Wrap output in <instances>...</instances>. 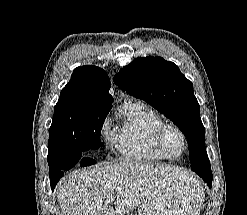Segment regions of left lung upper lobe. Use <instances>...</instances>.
I'll use <instances>...</instances> for the list:
<instances>
[{
  "instance_id": "5c2ea615",
  "label": "left lung upper lobe",
  "mask_w": 247,
  "mask_h": 215,
  "mask_svg": "<svg viewBox=\"0 0 247 215\" xmlns=\"http://www.w3.org/2000/svg\"><path fill=\"white\" fill-rule=\"evenodd\" d=\"M114 82L173 121L188 141L191 168L208 159L200 106L189 81L172 62L161 57L134 59L115 76Z\"/></svg>"
}]
</instances>
